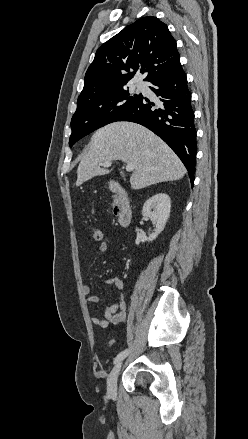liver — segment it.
<instances>
[{"instance_id": "1", "label": "liver", "mask_w": 248, "mask_h": 439, "mask_svg": "<svg viewBox=\"0 0 248 439\" xmlns=\"http://www.w3.org/2000/svg\"><path fill=\"white\" fill-rule=\"evenodd\" d=\"M121 160L134 165L131 187L139 190L153 184L181 179L186 169L170 147L147 128L132 122H115L98 129L77 169L76 186L106 175L100 164Z\"/></svg>"}]
</instances>
